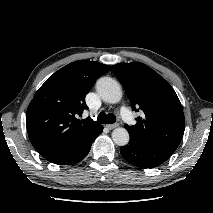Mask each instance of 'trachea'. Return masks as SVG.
I'll use <instances>...</instances> for the list:
<instances>
[{"label": "trachea", "instance_id": "3493384b", "mask_svg": "<svg viewBox=\"0 0 213 213\" xmlns=\"http://www.w3.org/2000/svg\"><path fill=\"white\" fill-rule=\"evenodd\" d=\"M97 122L100 124H113L116 122V116L111 113L106 114L105 112H101L97 117Z\"/></svg>", "mask_w": 213, "mask_h": 213}]
</instances>
